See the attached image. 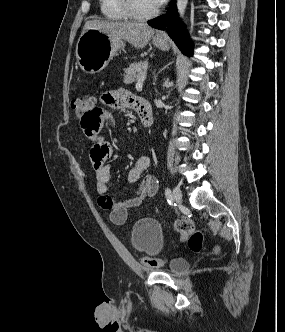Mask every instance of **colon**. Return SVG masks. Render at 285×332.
Segmentation results:
<instances>
[{
  "label": "colon",
  "mask_w": 285,
  "mask_h": 332,
  "mask_svg": "<svg viewBox=\"0 0 285 332\" xmlns=\"http://www.w3.org/2000/svg\"><path fill=\"white\" fill-rule=\"evenodd\" d=\"M91 106H99L91 96H80L72 102V109L75 117L82 115L83 111H88ZM175 227L183 236L187 247L193 252H199L203 244V232L196 230L193 222L188 218H180L176 221ZM143 263L149 267H158L163 264V260L149 257L143 258Z\"/></svg>",
  "instance_id": "colon-1"
}]
</instances>
